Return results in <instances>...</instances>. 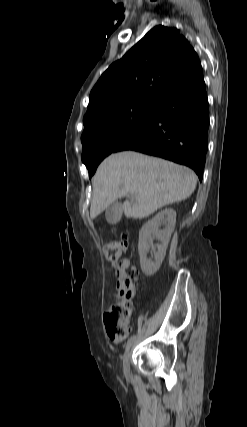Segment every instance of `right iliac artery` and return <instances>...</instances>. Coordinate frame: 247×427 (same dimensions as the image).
I'll return each mask as SVG.
<instances>
[{"label": "right iliac artery", "instance_id": "1", "mask_svg": "<svg viewBox=\"0 0 247 427\" xmlns=\"http://www.w3.org/2000/svg\"><path fill=\"white\" fill-rule=\"evenodd\" d=\"M135 335H133V336H131L129 339H128V341H127V343H126V349H128L129 348V346L133 343V341L135 340Z\"/></svg>", "mask_w": 247, "mask_h": 427}]
</instances>
